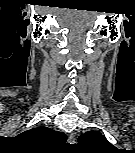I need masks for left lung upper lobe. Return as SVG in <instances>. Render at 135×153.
<instances>
[{
    "label": "left lung upper lobe",
    "instance_id": "obj_1",
    "mask_svg": "<svg viewBox=\"0 0 135 153\" xmlns=\"http://www.w3.org/2000/svg\"><path fill=\"white\" fill-rule=\"evenodd\" d=\"M79 145L94 153H108L116 148L98 131H89L79 136Z\"/></svg>",
    "mask_w": 135,
    "mask_h": 153
}]
</instances>
